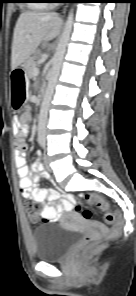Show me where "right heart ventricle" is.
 <instances>
[{
    "instance_id": "right-heart-ventricle-1",
    "label": "right heart ventricle",
    "mask_w": 136,
    "mask_h": 296,
    "mask_svg": "<svg viewBox=\"0 0 136 296\" xmlns=\"http://www.w3.org/2000/svg\"><path fill=\"white\" fill-rule=\"evenodd\" d=\"M29 5L36 9H44L49 7V3L46 0H33V2Z\"/></svg>"
}]
</instances>
